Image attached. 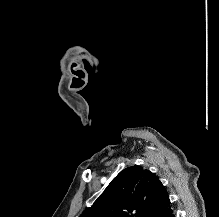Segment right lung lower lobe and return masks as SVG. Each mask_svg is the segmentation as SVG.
Segmentation results:
<instances>
[{
    "mask_svg": "<svg viewBox=\"0 0 219 217\" xmlns=\"http://www.w3.org/2000/svg\"><path fill=\"white\" fill-rule=\"evenodd\" d=\"M165 217H175V214H174L173 210L170 209V210L166 213Z\"/></svg>",
    "mask_w": 219,
    "mask_h": 217,
    "instance_id": "98d812e1",
    "label": "right lung lower lobe"
}]
</instances>
